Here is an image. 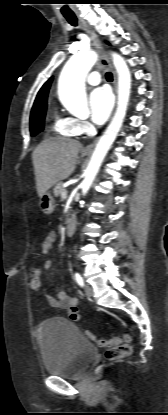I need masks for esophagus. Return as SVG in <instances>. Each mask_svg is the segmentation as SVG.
<instances>
[{
	"label": "esophagus",
	"mask_w": 168,
	"mask_h": 415,
	"mask_svg": "<svg viewBox=\"0 0 168 415\" xmlns=\"http://www.w3.org/2000/svg\"><path fill=\"white\" fill-rule=\"evenodd\" d=\"M77 17L79 19V22H80L82 28L88 33V35L92 39L95 47L97 48V50L99 52V54H100V59H99L100 63L104 66H108L109 69L111 70V72L113 74L114 92H115V94H117V86H116L117 75H116V71L114 70V67L112 66V64H111L110 60L108 59V57L105 55V51L103 49V46H102L100 40L98 39V37H97L96 33L94 32V30L89 26V24L81 16L78 15ZM96 141L97 140H94L93 143L87 145L84 148V151H92Z\"/></svg>",
	"instance_id": "34e87169"
}]
</instances>
